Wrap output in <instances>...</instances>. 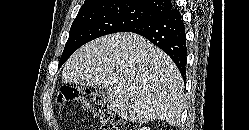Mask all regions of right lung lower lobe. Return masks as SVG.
Wrapping results in <instances>:
<instances>
[{
  "mask_svg": "<svg viewBox=\"0 0 249 130\" xmlns=\"http://www.w3.org/2000/svg\"><path fill=\"white\" fill-rule=\"evenodd\" d=\"M125 32L139 34L162 49L174 61L183 79L186 78V35L183 20L176 8Z\"/></svg>",
  "mask_w": 249,
  "mask_h": 130,
  "instance_id": "98d812e1",
  "label": "right lung lower lobe"
}]
</instances>
